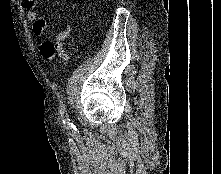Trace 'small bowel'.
<instances>
[{
	"label": "small bowel",
	"mask_w": 221,
	"mask_h": 174,
	"mask_svg": "<svg viewBox=\"0 0 221 174\" xmlns=\"http://www.w3.org/2000/svg\"><path fill=\"white\" fill-rule=\"evenodd\" d=\"M22 6L26 11V16L28 20L34 22L33 30L37 36H41L44 33L45 21L40 19L36 11L37 0H21ZM71 26L69 24L63 27V30L57 34L55 41L45 40L40 45L41 54L48 58L52 59L55 54H57L63 60L69 58L68 48L64 41L70 35Z\"/></svg>",
	"instance_id": "c3829d8e"
}]
</instances>
